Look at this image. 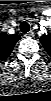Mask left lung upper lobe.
<instances>
[{
  "label": "left lung upper lobe",
  "mask_w": 51,
  "mask_h": 101,
  "mask_svg": "<svg viewBox=\"0 0 51 101\" xmlns=\"http://www.w3.org/2000/svg\"><path fill=\"white\" fill-rule=\"evenodd\" d=\"M40 42L43 45L44 49L51 56V34L43 35L40 38Z\"/></svg>",
  "instance_id": "5c2ea615"
}]
</instances>
